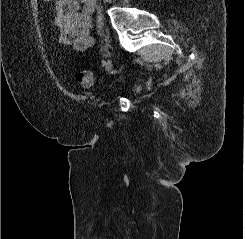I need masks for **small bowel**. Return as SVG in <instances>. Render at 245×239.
Returning <instances> with one entry per match:
<instances>
[{
  "label": "small bowel",
  "mask_w": 245,
  "mask_h": 239,
  "mask_svg": "<svg viewBox=\"0 0 245 239\" xmlns=\"http://www.w3.org/2000/svg\"><path fill=\"white\" fill-rule=\"evenodd\" d=\"M96 7L97 0H56L54 22L60 30V43L76 51L90 48L93 45L91 14Z\"/></svg>",
  "instance_id": "c3829d8e"
}]
</instances>
